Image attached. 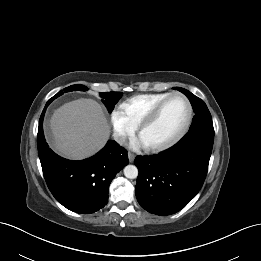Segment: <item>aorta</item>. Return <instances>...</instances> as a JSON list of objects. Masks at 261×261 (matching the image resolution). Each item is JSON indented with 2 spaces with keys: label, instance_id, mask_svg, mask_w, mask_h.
Returning a JSON list of instances; mask_svg holds the SVG:
<instances>
[{
  "label": "aorta",
  "instance_id": "1",
  "mask_svg": "<svg viewBox=\"0 0 261 261\" xmlns=\"http://www.w3.org/2000/svg\"><path fill=\"white\" fill-rule=\"evenodd\" d=\"M124 175L128 179H135L138 176V169L134 165H127L124 168Z\"/></svg>",
  "mask_w": 261,
  "mask_h": 261
}]
</instances>
